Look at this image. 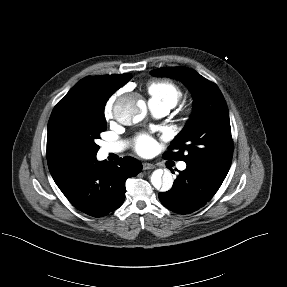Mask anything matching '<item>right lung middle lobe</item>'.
<instances>
[{"label":"right lung middle lobe","instance_id":"dd1d6c3e","mask_svg":"<svg viewBox=\"0 0 287 287\" xmlns=\"http://www.w3.org/2000/svg\"><path fill=\"white\" fill-rule=\"evenodd\" d=\"M110 96L91 92L68 99L55 119V148L64 156L79 162L96 157L95 143L106 130L104 106Z\"/></svg>","mask_w":287,"mask_h":287}]
</instances>
